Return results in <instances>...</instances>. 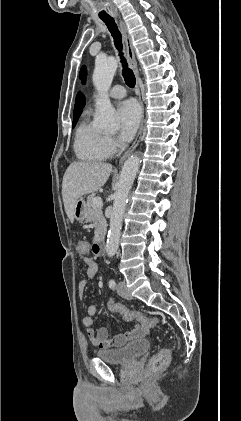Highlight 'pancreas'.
<instances>
[{
  "label": "pancreas",
  "instance_id": "pancreas-1",
  "mask_svg": "<svg viewBox=\"0 0 241 421\" xmlns=\"http://www.w3.org/2000/svg\"><path fill=\"white\" fill-rule=\"evenodd\" d=\"M94 195L91 194L87 197L86 207H87V216L86 220L94 224L95 238L103 235L106 231V220L103 216L102 207H95L92 203Z\"/></svg>",
  "mask_w": 241,
  "mask_h": 421
}]
</instances>
